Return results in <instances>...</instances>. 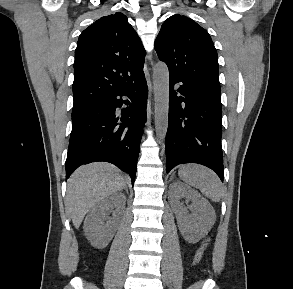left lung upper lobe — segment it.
<instances>
[{"mask_svg": "<svg viewBox=\"0 0 293 289\" xmlns=\"http://www.w3.org/2000/svg\"><path fill=\"white\" fill-rule=\"evenodd\" d=\"M155 50L169 73L220 88L216 49L208 32L192 19L173 15L161 26Z\"/></svg>", "mask_w": 293, "mask_h": 289, "instance_id": "obj_1", "label": "left lung upper lobe"}]
</instances>
